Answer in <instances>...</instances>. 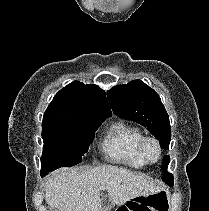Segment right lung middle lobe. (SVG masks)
I'll use <instances>...</instances> for the list:
<instances>
[{
  "label": "right lung middle lobe",
  "mask_w": 209,
  "mask_h": 211,
  "mask_svg": "<svg viewBox=\"0 0 209 211\" xmlns=\"http://www.w3.org/2000/svg\"><path fill=\"white\" fill-rule=\"evenodd\" d=\"M106 118L86 119L71 123H42L44 142L41 172L47 174L62 166L82 161L94 133Z\"/></svg>",
  "instance_id": "1"
}]
</instances>
